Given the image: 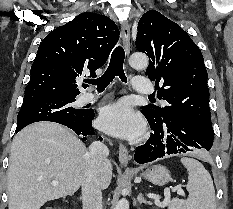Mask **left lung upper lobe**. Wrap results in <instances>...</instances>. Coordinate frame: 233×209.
<instances>
[{"instance_id":"obj_1","label":"left lung upper lobe","mask_w":233,"mask_h":209,"mask_svg":"<svg viewBox=\"0 0 233 209\" xmlns=\"http://www.w3.org/2000/svg\"><path fill=\"white\" fill-rule=\"evenodd\" d=\"M136 48L149 57L146 75L156 81L157 97L168 102L143 106V114L160 121L187 117L212 127L203 55L187 32L149 10L138 22Z\"/></svg>"}]
</instances>
